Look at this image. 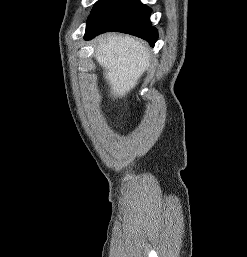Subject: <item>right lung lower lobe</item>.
Returning <instances> with one entry per match:
<instances>
[{
  "label": "right lung lower lobe",
  "mask_w": 247,
  "mask_h": 257,
  "mask_svg": "<svg viewBox=\"0 0 247 257\" xmlns=\"http://www.w3.org/2000/svg\"><path fill=\"white\" fill-rule=\"evenodd\" d=\"M151 9L140 0H99L87 20L85 39L107 31L138 36L154 46L157 29L151 26Z\"/></svg>",
  "instance_id": "1"
}]
</instances>
